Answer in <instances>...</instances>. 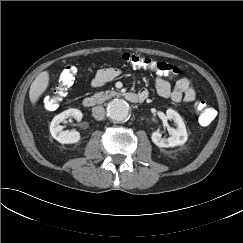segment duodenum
Returning a JSON list of instances; mask_svg holds the SVG:
<instances>
[{"label": "duodenum", "instance_id": "duodenum-1", "mask_svg": "<svg viewBox=\"0 0 243 243\" xmlns=\"http://www.w3.org/2000/svg\"><path fill=\"white\" fill-rule=\"evenodd\" d=\"M124 98L129 102L138 103L144 101L147 98V96L141 95L139 93L128 92L124 94ZM98 104H99V99L93 96L86 97L83 100V106L86 108H92Z\"/></svg>", "mask_w": 243, "mask_h": 243}]
</instances>
